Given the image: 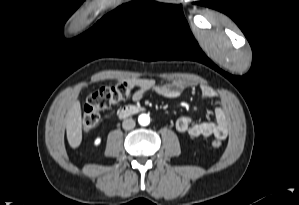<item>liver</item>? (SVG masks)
Wrapping results in <instances>:
<instances>
[{
    "mask_svg": "<svg viewBox=\"0 0 299 205\" xmlns=\"http://www.w3.org/2000/svg\"><path fill=\"white\" fill-rule=\"evenodd\" d=\"M66 133L69 145L72 148H77L82 141V117L81 105L77 100L66 116Z\"/></svg>",
    "mask_w": 299,
    "mask_h": 205,
    "instance_id": "6515ba94",
    "label": "liver"
}]
</instances>
